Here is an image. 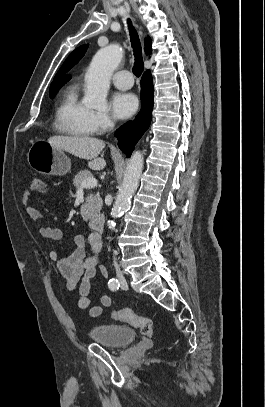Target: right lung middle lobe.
Masks as SVG:
<instances>
[{
	"label": "right lung middle lobe",
	"mask_w": 265,
	"mask_h": 407,
	"mask_svg": "<svg viewBox=\"0 0 265 407\" xmlns=\"http://www.w3.org/2000/svg\"><path fill=\"white\" fill-rule=\"evenodd\" d=\"M64 84H58V85H51L50 86V91H49V95L50 97H54L55 94L57 93V91L63 86Z\"/></svg>",
	"instance_id": "right-lung-middle-lobe-1"
}]
</instances>
